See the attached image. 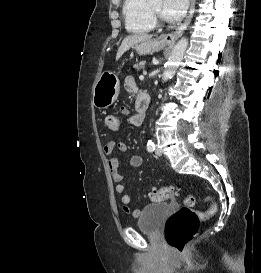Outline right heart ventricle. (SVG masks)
<instances>
[{"mask_svg":"<svg viewBox=\"0 0 261 273\" xmlns=\"http://www.w3.org/2000/svg\"><path fill=\"white\" fill-rule=\"evenodd\" d=\"M149 0H124L123 18L126 29L135 34L152 31L155 24L148 9Z\"/></svg>","mask_w":261,"mask_h":273,"instance_id":"right-heart-ventricle-1","label":"right heart ventricle"}]
</instances>
